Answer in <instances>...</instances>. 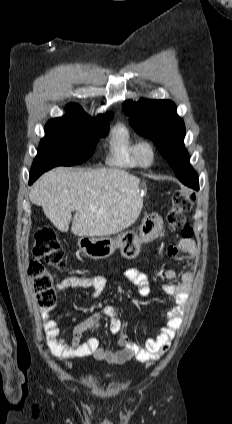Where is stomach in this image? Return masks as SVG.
I'll return each instance as SVG.
<instances>
[{"instance_id":"stomach-1","label":"stomach","mask_w":232,"mask_h":424,"mask_svg":"<svg viewBox=\"0 0 232 424\" xmlns=\"http://www.w3.org/2000/svg\"><path fill=\"white\" fill-rule=\"evenodd\" d=\"M163 229L161 218L144 220L139 234L133 231L123 232L115 238L111 237H81L78 245L84 254L93 259L107 258L119 248L121 254L127 258H134L139 254L142 243H148L158 238Z\"/></svg>"}]
</instances>
